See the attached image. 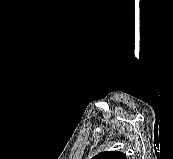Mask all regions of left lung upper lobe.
Listing matches in <instances>:
<instances>
[{"label": "left lung upper lobe", "instance_id": "left-lung-upper-lobe-1", "mask_svg": "<svg viewBox=\"0 0 173 159\" xmlns=\"http://www.w3.org/2000/svg\"><path fill=\"white\" fill-rule=\"evenodd\" d=\"M93 159H126V156L122 152L106 151L96 155Z\"/></svg>", "mask_w": 173, "mask_h": 159}]
</instances>
